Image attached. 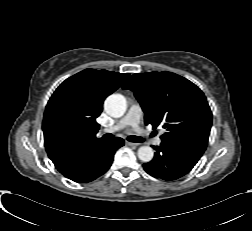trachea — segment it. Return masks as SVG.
Listing matches in <instances>:
<instances>
[{"mask_svg": "<svg viewBox=\"0 0 252 231\" xmlns=\"http://www.w3.org/2000/svg\"><path fill=\"white\" fill-rule=\"evenodd\" d=\"M113 138V135L110 133L104 134L103 139L105 140H111ZM127 140L130 142H144V139L139 136H128Z\"/></svg>", "mask_w": 252, "mask_h": 231, "instance_id": "3493384b", "label": "trachea"}]
</instances>
